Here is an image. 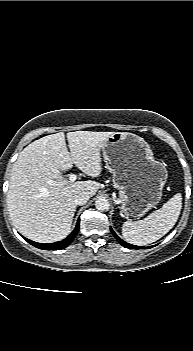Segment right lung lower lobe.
<instances>
[{"mask_svg": "<svg viewBox=\"0 0 193 351\" xmlns=\"http://www.w3.org/2000/svg\"><path fill=\"white\" fill-rule=\"evenodd\" d=\"M79 224H80V219H78V222L76 224V227L74 231L64 240L56 242V243H50V244H43V243H37L34 241H31L25 237H23L28 243L31 245L43 249V250H60L66 248L70 243L74 240L76 237L77 233L79 232Z\"/></svg>", "mask_w": 193, "mask_h": 351, "instance_id": "obj_1", "label": "right lung lower lobe"}]
</instances>
